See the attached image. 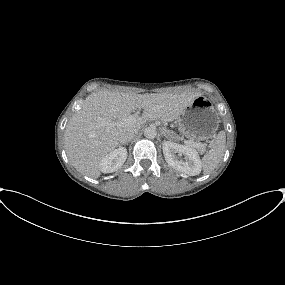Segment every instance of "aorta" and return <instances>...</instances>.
Masks as SVG:
<instances>
[{
    "instance_id": "1",
    "label": "aorta",
    "mask_w": 285,
    "mask_h": 285,
    "mask_svg": "<svg viewBox=\"0 0 285 285\" xmlns=\"http://www.w3.org/2000/svg\"><path fill=\"white\" fill-rule=\"evenodd\" d=\"M157 135V131L156 128L153 126L147 127L144 130V136L148 139H153L155 138Z\"/></svg>"
}]
</instances>
